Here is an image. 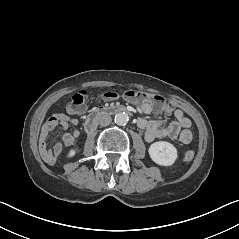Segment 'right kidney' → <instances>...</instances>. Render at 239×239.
I'll return each instance as SVG.
<instances>
[{
    "label": "right kidney",
    "instance_id": "1",
    "mask_svg": "<svg viewBox=\"0 0 239 239\" xmlns=\"http://www.w3.org/2000/svg\"><path fill=\"white\" fill-rule=\"evenodd\" d=\"M77 155V149L72 147V158H74ZM64 158L66 160H69L71 158V155L69 153H66L64 155Z\"/></svg>",
    "mask_w": 239,
    "mask_h": 239
}]
</instances>
